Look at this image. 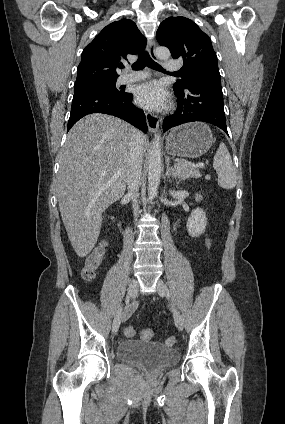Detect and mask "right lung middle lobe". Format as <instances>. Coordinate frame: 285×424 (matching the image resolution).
Masks as SVG:
<instances>
[{
	"label": "right lung middle lobe",
	"instance_id": "dd1d6c3e",
	"mask_svg": "<svg viewBox=\"0 0 285 424\" xmlns=\"http://www.w3.org/2000/svg\"><path fill=\"white\" fill-rule=\"evenodd\" d=\"M116 80L111 81H91V82H84L75 84V91L82 92V91H100V92H106L110 94H121L123 91H118L116 88Z\"/></svg>",
	"mask_w": 285,
	"mask_h": 424
}]
</instances>
